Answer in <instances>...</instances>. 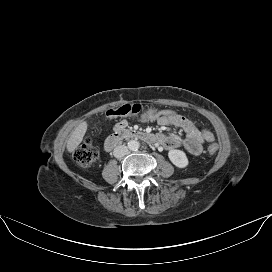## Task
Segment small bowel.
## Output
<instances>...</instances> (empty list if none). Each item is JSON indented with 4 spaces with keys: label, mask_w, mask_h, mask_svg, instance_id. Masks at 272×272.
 Returning a JSON list of instances; mask_svg holds the SVG:
<instances>
[{
    "label": "small bowel",
    "mask_w": 272,
    "mask_h": 272,
    "mask_svg": "<svg viewBox=\"0 0 272 272\" xmlns=\"http://www.w3.org/2000/svg\"><path fill=\"white\" fill-rule=\"evenodd\" d=\"M160 126H174L185 132V137L177 134L158 135L159 142L168 150L183 147L191 155H200L203 150V144L212 142L214 135L207 129L198 128L193 121L182 115L172 117H162L157 120ZM126 121H120L116 129L125 127Z\"/></svg>",
    "instance_id": "c3829d8e"
}]
</instances>
